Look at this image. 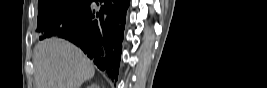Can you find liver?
Masks as SVG:
<instances>
[{"mask_svg": "<svg viewBox=\"0 0 267 88\" xmlns=\"http://www.w3.org/2000/svg\"><path fill=\"white\" fill-rule=\"evenodd\" d=\"M33 64L36 88H80L95 73L92 62L78 47L59 38L38 42Z\"/></svg>", "mask_w": 267, "mask_h": 88, "instance_id": "1", "label": "liver"}]
</instances>
